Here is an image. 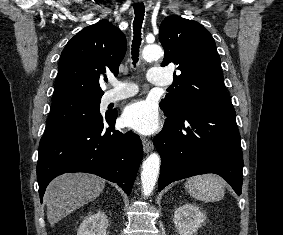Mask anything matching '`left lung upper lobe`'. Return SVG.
I'll return each instance as SVG.
<instances>
[{
  "label": "left lung upper lobe",
  "instance_id": "1",
  "mask_svg": "<svg viewBox=\"0 0 283 235\" xmlns=\"http://www.w3.org/2000/svg\"><path fill=\"white\" fill-rule=\"evenodd\" d=\"M159 40L165 55L161 66L174 63L181 73L175 75L172 93L160 103L167 117H179L196 109L231 108L221 61L210 32L196 21L176 15L160 25Z\"/></svg>",
  "mask_w": 283,
  "mask_h": 235
}]
</instances>
